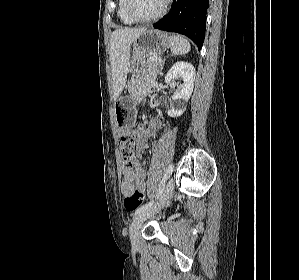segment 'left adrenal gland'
Listing matches in <instances>:
<instances>
[{
	"label": "left adrenal gland",
	"mask_w": 299,
	"mask_h": 280,
	"mask_svg": "<svg viewBox=\"0 0 299 280\" xmlns=\"http://www.w3.org/2000/svg\"><path fill=\"white\" fill-rule=\"evenodd\" d=\"M164 62H165V58L163 59V61H162L161 65H164ZM161 69H162V67H161Z\"/></svg>",
	"instance_id": "1"
}]
</instances>
